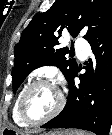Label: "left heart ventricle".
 Segmentation results:
<instances>
[{"label":"left heart ventricle","instance_id":"b2bd125f","mask_svg":"<svg viewBox=\"0 0 112 135\" xmlns=\"http://www.w3.org/2000/svg\"><path fill=\"white\" fill-rule=\"evenodd\" d=\"M58 103V90L51 85L35 87L27 98L28 111L35 117L48 115L56 108Z\"/></svg>","mask_w":112,"mask_h":135}]
</instances>
